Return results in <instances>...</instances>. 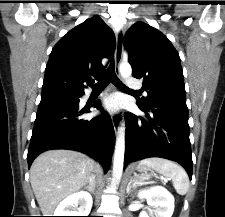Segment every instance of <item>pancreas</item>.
<instances>
[{
  "label": "pancreas",
  "mask_w": 225,
  "mask_h": 217,
  "mask_svg": "<svg viewBox=\"0 0 225 217\" xmlns=\"http://www.w3.org/2000/svg\"><path fill=\"white\" fill-rule=\"evenodd\" d=\"M147 179H149V175H142V176L135 175L133 178V182L134 184H138L144 182Z\"/></svg>",
  "instance_id": "obj_1"
}]
</instances>
